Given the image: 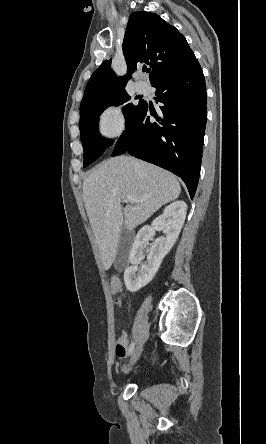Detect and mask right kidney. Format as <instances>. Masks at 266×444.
Returning <instances> with one entry per match:
<instances>
[{
	"label": "right kidney",
	"instance_id": "obj_1",
	"mask_svg": "<svg viewBox=\"0 0 266 444\" xmlns=\"http://www.w3.org/2000/svg\"><path fill=\"white\" fill-rule=\"evenodd\" d=\"M187 205L184 201H176L168 205L163 213L153 220L151 226H144L136 235L134 244L129 254L131 266L124 272V282L127 290L136 292L146 286L157 273L163 258L168 254L175 244L185 221ZM159 228L165 237L157 238L147 255V262L138 271L144 250L149 240L155 235V230Z\"/></svg>",
	"mask_w": 266,
	"mask_h": 444
}]
</instances>
